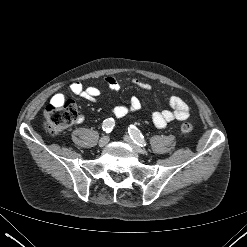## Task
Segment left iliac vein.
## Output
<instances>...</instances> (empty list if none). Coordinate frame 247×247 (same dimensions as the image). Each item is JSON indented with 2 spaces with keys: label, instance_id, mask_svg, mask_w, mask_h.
<instances>
[{
  "label": "left iliac vein",
  "instance_id": "4c4485c4",
  "mask_svg": "<svg viewBox=\"0 0 247 247\" xmlns=\"http://www.w3.org/2000/svg\"><path fill=\"white\" fill-rule=\"evenodd\" d=\"M124 140L125 142H127L136 152L140 153V154H144V150L139 146L137 145L132 139L130 136L128 135H125L124 136Z\"/></svg>",
  "mask_w": 247,
  "mask_h": 247
}]
</instances>
